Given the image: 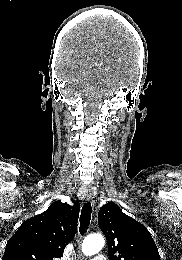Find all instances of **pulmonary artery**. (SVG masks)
<instances>
[{"mask_svg":"<svg viewBox=\"0 0 182 260\" xmlns=\"http://www.w3.org/2000/svg\"><path fill=\"white\" fill-rule=\"evenodd\" d=\"M91 260H106V258H105V256H103V255H97V256H95L93 259H91Z\"/></svg>","mask_w":182,"mask_h":260,"instance_id":"obj_1","label":"pulmonary artery"}]
</instances>
